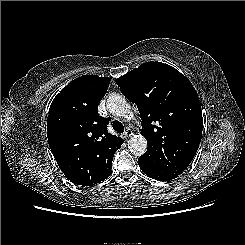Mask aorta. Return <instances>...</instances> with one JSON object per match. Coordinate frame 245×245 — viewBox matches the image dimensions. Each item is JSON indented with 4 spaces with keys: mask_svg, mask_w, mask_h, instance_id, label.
I'll return each mask as SVG.
<instances>
[{
    "mask_svg": "<svg viewBox=\"0 0 245 245\" xmlns=\"http://www.w3.org/2000/svg\"><path fill=\"white\" fill-rule=\"evenodd\" d=\"M108 111L118 117H127L131 114L130 105L126 98L120 94H111L107 99ZM129 151L135 156L143 155L147 150V141L142 135H134L128 141Z\"/></svg>",
    "mask_w": 245,
    "mask_h": 245,
    "instance_id": "762f6f07",
    "label": "aorta"
}]
</instances>
